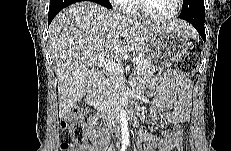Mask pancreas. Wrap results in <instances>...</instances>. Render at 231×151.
Returning <instances> with one entry per match:
<instances>
[{"label": "pancreas", "instance_id": "1", "mask_svg": "<svg viewBox=\"0 0 231 151\" xmlns=\"http://www.w3.org/2000/svg\"><path fill=\"white\" fill-rule=\"evenodd\" d=\"M135 72L140 76H146L153 74L155 72V68L149 64L145 56H142L139 63L136 64ZM123 89V75L108 72L106 79L100 85L97 96L100 107L105 109L116 104L120 100Z\"/></svg>", "mask_w": 231, "mask_h": 151}]
</instances>
